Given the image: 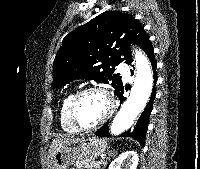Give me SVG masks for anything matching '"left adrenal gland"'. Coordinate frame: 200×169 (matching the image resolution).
Masks as SVG:
<instances>
[{
    "instance_id": "obj_1",
    "label": "left adrenal gland",
    "mask_w": 200,
    "mask_h": 169,
    "mask_svg": "<svg viewBox=\"0 0 200 169\" xmlns=\"http://www.w3.org/2000/svg\"><path fill=\"white\" fill-rule=\"evenodd\" d=\"M117 153V150H110L109 152H108V157H107V160L104 162V166L107 164V161L108 160H110V157H112L114 154H116Z\"/></svg>"
}]
</instances>
